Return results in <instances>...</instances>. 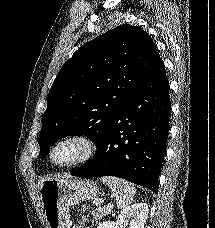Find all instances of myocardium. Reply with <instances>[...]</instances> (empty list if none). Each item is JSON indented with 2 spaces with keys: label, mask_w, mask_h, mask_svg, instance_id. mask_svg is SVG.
Returning <instances> with one entry per match:
<instances>
[{
  "label": "myocardium",
  "mask_w": 215,
  "mask_h": 228,
  "mask_svg": "<svg viewBox=\"0 0 215 228\" xmlns=\"http://www.w3.org/2000/svg\"><path fill=\"white\" fill-rule=\"evenodd\" d=\"M65 146L73 149L72 156L63 161L54 160V154ZM95 150L96 144L90 136L84 133H71L58 138L51 144L46 154V160L52 167L63 168L87 160Z\"/></svg>",
  "instance_id": "1"
}]
</instances>
